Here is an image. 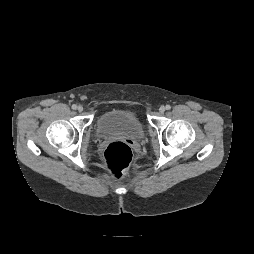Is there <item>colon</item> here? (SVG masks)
<instances>
[{"label": "colon", "instance_id": "obj_1", "mask_svg": "<svg viewBox=\"0 0 254 254\" xmlns=\"http://www.w3.org/2000/svg\"><path fill=\"white\" fill-rule=\"evenodd\" d=\"M103 159L105 169L111 176L117 179L128 178L132 151L126 142L110 143L104 151Z\"/></svg>", "mask_w": 254, "mask_h": 254}]
</instances>
